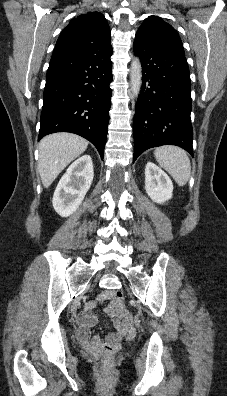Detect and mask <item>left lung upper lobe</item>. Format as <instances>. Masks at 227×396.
Instances as JSON below:
<instances>
[{"mask_svg": "<svg viewBox=\"0 0 227 396\" xmlns=\"http://www.w3.org/2000/svg\"><path fill=\"white\" fill-rule=\"evenodd\" d=\"M135 39L149 46L159 45L184 53L177 31L157 16L145 19L139 27Z\"/></svg>", "mask_w": 227, "mask_h": 396, "instance_id": "obj_1", "label": "left lung upper lobe"}]
</instances>
